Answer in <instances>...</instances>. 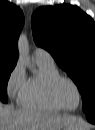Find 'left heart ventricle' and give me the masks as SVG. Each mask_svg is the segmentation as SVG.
Instances as JSON below:
<instances>
[{"label": "left heart ventricle", "mask_w": 95, "mask_h": 130, "mask_svg": "<svg viewBox=\"0 0 95 130\" xmlns=\"http://www.w3.org/2000/svg\"><path fill=\"white\" fill-rule=\"evenodd\" d=\"M58 96L62 103L68 108H76L79 104L78 91L72 84L68 82H62L59 85Z\"/></svg>", "instance_id": "1"}]
</instances>
